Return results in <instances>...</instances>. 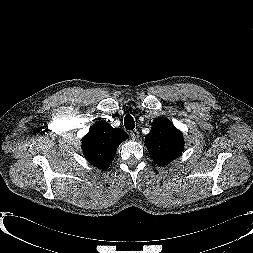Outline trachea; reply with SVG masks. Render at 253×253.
I'll list each match as a JSON object with an SVG mask.
<instances>
[{
    "label": "trachea",
    "mask_w": 253,
    "mask_h": 253,
    "mask_svg": "<svg viewBox=\"0 0 253 253\" xmlns=\"http://www.w3.org/2000/svg\"><path fill=\"white\" fill-rule=\"evenodd\" d=\"M124 125L127 130H133L135 128V121L131 115H126L124 118Z\"/></svg>",
    "instance_id": "obj_1"
}]
</instances>
